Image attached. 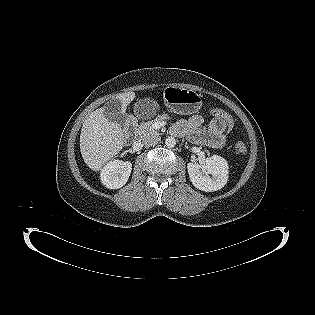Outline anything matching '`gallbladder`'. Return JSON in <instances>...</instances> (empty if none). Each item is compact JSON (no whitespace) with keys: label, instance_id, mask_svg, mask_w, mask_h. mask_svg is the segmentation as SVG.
I'll return each instance as SVG.
<instances>
[{"label":"gallbladder","instance_id":"obj_1","mask_svg":"<svg viewBox=\"0 0 315 315\" xmlns=\"http://www.w3.org/2000/svg\"><path fill=\"white\" fill-rule=\"evenodd\" d=\"M121 102L117 99L110 100L106 103L104 107V116L113 122H121L122 114H121Z\"/></svg>","mask_w":315,"mask_h":315}]
</instances>
